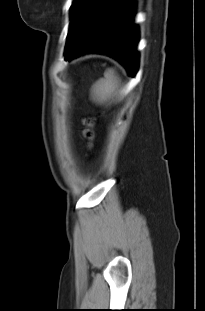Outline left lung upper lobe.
Returning a JSON list of instances; mask_svg holds the SVG:
<instances>
[{
    "label": "left lung upper lobe",
    "mask_w": 205,
    "mask_h": 311,
    "mask_svg": "<svg viewBox=\"0 0 205 311\" xmlns=\"http://www.w3.org/2000/svg\"><path fill=\"white\" fill-rule=\"evenodd\" d=\"M120 0H75L71 6V27L66 52L76 48L113 11Z\"/></svg>",
    "instance_id": "obj_1"
}]
</instances>
